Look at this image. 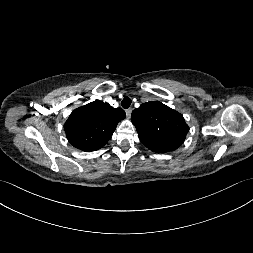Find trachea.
I'll return each instance as SVG.
<instances>
[{
	"instance_id": "trachea-1",
	"label": "trachea",
	"mask_w": 253,
	"mask_h": 253,
	"mask_svg": "<svg viewBox=\"0 0 253 253\" xmlns=\"http://www.w3.org/2000/svg\"><path fill=\"white\" fill-rule=\"evenodd\" d=\"M121 105H122V107L125 108V109L129 108L130 105H131V99H130L129 97H127V96L124 97V99H123L122 102H121Z\"/></svg>"
}]
</instances>
